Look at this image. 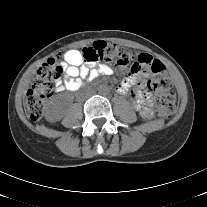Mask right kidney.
Segmentation results:
<instances>
[{"label": "right kidney", "instance_id": "right-kidney-1", "mask_svg": "<svg viewBox=\"0 0 207 207\" xmlns=\"http://www.w3.org/2000/svg\"><path fill=\"white\" fill-rule=\"evenodd\" d=\"M64 116V112L62 108L56 101H51L47 107L45 118L49 122H57L60 121Z\"/></svg>", "mask_w": 207, "mask_h": 207}]
</instances>
